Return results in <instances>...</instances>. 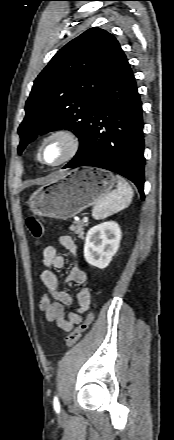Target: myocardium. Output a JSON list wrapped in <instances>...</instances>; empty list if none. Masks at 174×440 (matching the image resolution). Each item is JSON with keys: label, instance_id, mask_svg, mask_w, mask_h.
<instances>
[{"label": "myocardium", "instance_id": "f54148a6", "mask_svg": "<svg viewBox=\"0 0 174 440\" xmlns=\"http://www.w3.org/2000/svg\"><path fill=\"white\" fill-rule=\"evenodd\" d=\"M53 138H62L66 140L68 144V149L64 157L59 162L54 164H48L42 158V150L44 145ZM81 145H82L81 138L76 131L67 127H60L52 130L42 138L37 149V159L44 166L51 168L59 167L71 161L79 153L81 149Z\"/></svg>", "mask_w": 174, "mask_h": 440}]
</instances>
